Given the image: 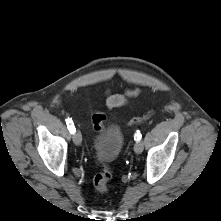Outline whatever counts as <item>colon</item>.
I'll return each mask as SVG.
<instances>
[{"instance_id": "obj_1", "label": "colon", "mask_w": 221, "mask_h": 221, "mask_svg": "<svg viewBox=\"0 0 221 221\" xmlns=\"http://www.w3.org/2000/svg\"><path fill=\"white\" fill-rule=\"evenodd\" d=\"M153 116V112L149 111L144 113L141 117L134 118L129 122V125H136L144 122ZM105 115L97 112L92 116L93 127L96 131L104 129ZM112 179V171L109 166L102 164L101 170L95 175L93 184L95 189L100 193H106L109 190V183Z\"/></svg>"}]
</instances>
